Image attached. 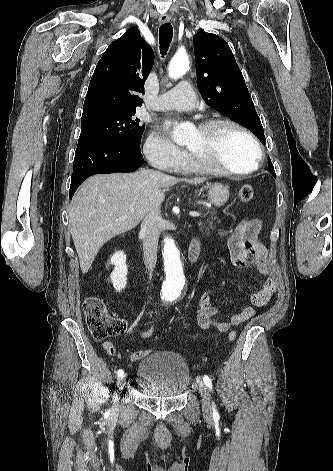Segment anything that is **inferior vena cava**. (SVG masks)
Returning <instances> with one entry per match:
<instances>
[{
  "label": "inferior vena cava",
  "instance_id": "602c4592",
  "mask_svg": "<svg viewBox=\"0 0 333 471\" xmlns=\"http://www.w3.org/2000/svg\"><path fill=\"white\" fill-rule=\"evenodd\" d=\"M160 206L150 209L141 224L140 234L143 237V252L148 270L153 271L157 262V247L161 232Z\"/></svg>",
  "mask_w": 333,
  "mask_h": 471
}]
</instances>
